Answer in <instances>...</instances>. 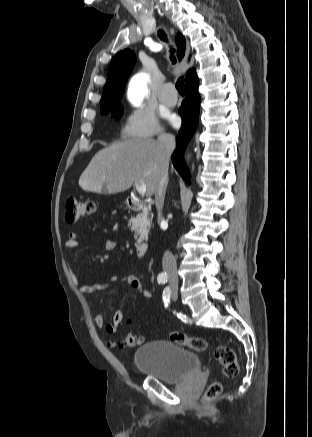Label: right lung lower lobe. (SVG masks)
<instances>
[{"instance_id":"1","label":"right lung lower lobe","mask_w":312,"mask_h":437,"mask_svg":"<svg viewBox=\"0 0 312 437\" xmlns=\"http://www.w3.org/2000/svg\"><path fill=\"white\" fill-rule=\"evenodd\" d=\"M198 86L197 75L190 77L185 82L186 98L179 109L183 122L181 130L176 137V150L171 156L174 167L188 184H190V173L184 161V151L198 125L200 111Z\"/></svg>"}]
</instances>
